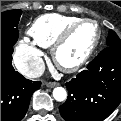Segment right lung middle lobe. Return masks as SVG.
I'll return each instance as SVG.
<instances>
[{"label": "right lung middle lobe", "instance_id": "right-lung-middle-lobe-1", "mask_svg": "<svg viewBox=\"0 0 121 121\" xmlns=\"http://www.w3.org/2000/svg\"><path fill=\"white\" fill-rule=\"evenodd\" d=\"M22 11L10 10L1 13V45L13 46L18 40V23Z\"/></svg>", "mask_w": 121, "mask_h": 121}]
</instances>
